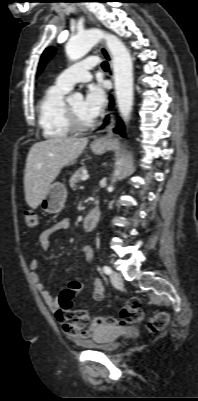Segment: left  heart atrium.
<instances>
[{"mask_svg":"<svg viewBox=\"0 0 198 401\" xmlns=\"http://www.w3.org/2000/svg\"><path fill=\"white\" fill-rule=\"evenodd\" d=\"M106 104V94L100 84H92L88 86L83 101L84 112L92 119L97 118L104 109Z\"/></svg>","mask_w":198,"mask_h":401,"instance_id":"1","label":"left heart atrium"}]
</instances>
